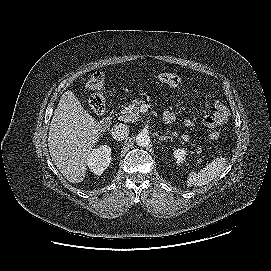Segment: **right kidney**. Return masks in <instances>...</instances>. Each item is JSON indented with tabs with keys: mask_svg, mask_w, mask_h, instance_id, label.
Returning <instances> with one entry per match:
<instances>
[{
	"mask_svg": "<svg viewBox=\"0 0 271 271\" xmlns=\"http://www.w3.org/2000/svg\"><path fill=\"white\" fill-rule=\"evenodd\" d=\"M111 162V148L108 145H102L88 155L87 165L92 173L101 175Z\"/></svg>",
	"mask_w": 271,
	"mask_h": 271,
	"instance_id": "obj_1",
	"label": "right kidney"
}]
</instances>
